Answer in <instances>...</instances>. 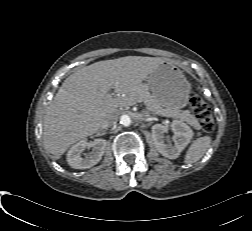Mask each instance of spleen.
I'll return each instance as SVG.
<instances>
[{"label":"spleen","instance_id":"3e777b00","mask_svg":"<svg viewBox=\"0 0 252 231\" xmlns=\"http://www.w3.org/2000/svg\"><path fill=\"white\" fill-rule=\"evenodd\" d=\"M211 137L204 136L196 139L188 148L184 162L186 164L199 161L211 145Z\"/></svg>","mask_w":252,"mask_h":231}]
</instances>
